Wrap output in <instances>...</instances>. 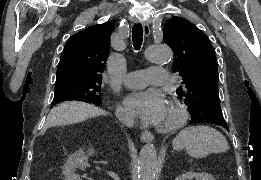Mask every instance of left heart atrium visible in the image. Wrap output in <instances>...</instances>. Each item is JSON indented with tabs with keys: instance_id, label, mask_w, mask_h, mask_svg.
I'll return each instance as SVG.
<instances>
[{
	"instance_id": "obj_1",
	"label": "left heart atrium",
	"mask_w": 261,
	"mask_h": 180,
	"mask_svg": "<svg viewBox=\"0 0 261 180\" xmlns=\"http://www.w3.org/2000/svg\"><path fill=\"white\" fill-rule=\"evenodd\" d=\"M166 104L160 90L145 89L129 92L124 99L126 111L148 122H156Z\"/></svg>"
}]
</instances>
